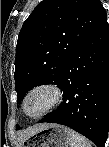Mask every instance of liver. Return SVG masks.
Listing matches in <instances>:
<instances>
[{"mask_svg":"<svg viewBox=\"0 0 109 147\" xmlns=\"http://www.w3.org/2000/svg\"><path fill=\"white\" fill-rule=\"evenodd\" d=\"M47 125H49V124H38V125L32 126L30 128H27L26 130H23L22 132H20V140L23 141L24 139L35 134L36 132L43 129Z\"/></svg>","mask_w":109,"mask_h":147,"instance_id":"1","label":"liver"}]
</instances>
